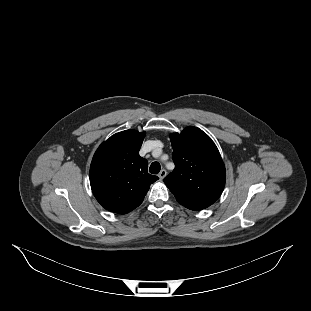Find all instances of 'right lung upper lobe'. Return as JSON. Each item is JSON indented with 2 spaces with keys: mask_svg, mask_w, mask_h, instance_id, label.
<instances>
[{
  "mask_svg": "<svg viewBox=\"0 0 311 311\" xmlns=\"http://www.w3.org/2000/svg\"><path fill=\"white\" fill-rule=\"evenodd\" d=\"M145 132L126 130L111 136L95 152L90 184L97 201L107 210L126 214L138 207L149 187L158 180L148 173L139 155Z\"/></svg>",
  "mask_w": 311,
  "mask_h": 311,
  "instance_id": "right-lung-upper-lobe-1",
  "label": "right lung upper lobe"
}]
</instances>
